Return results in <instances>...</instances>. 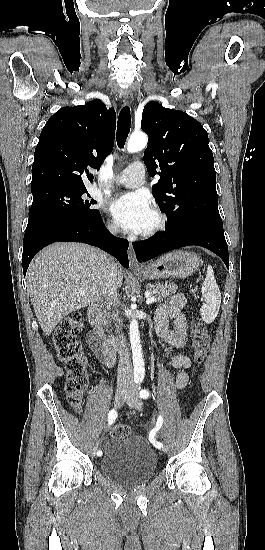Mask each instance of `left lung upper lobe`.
<instances>
[{
  "label": "left lung upper lobe",
  "instance_id": "5c2ea615",
  "mask_svg": "<svg viewBox=\"0 0 265 550\" xmlns=\"http://www.w3.org/2000/svg\"><path fill=\"white\" fill-rule=\"evenodd\" d=\"M141 128L149 137L147 171L160 175L153 195L167 215V228L199 222L223 229L214 158L203 126L182 111L151 101L144 107Z\"/></svg>",
  "mask_w": 265,
  "mask_h": 550
}]
</instances>
